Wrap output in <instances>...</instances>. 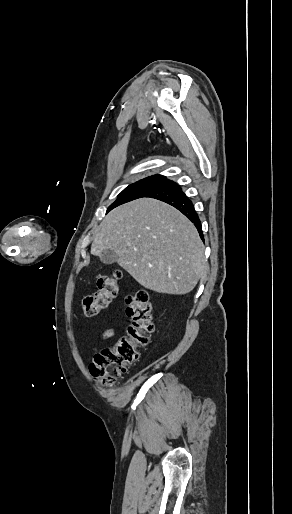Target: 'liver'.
Instances as JSON below:
<instances>
[{"label":"liver","instance_id":"obj_1","mask_svg":"<svg viewBox=\"0 0 292 514\" xmlns=\"http://www.w3.org/2000/svg\"><path fill=\"white\" fill-rule=\"evenodd\" d=\"M112 248L116 260L136 282L160 294H188L206 274L205 246L173 206L140 198L105 216L91 254Z\"/></svg>","mask_w":292,"mask_h":514}]
</instances>
